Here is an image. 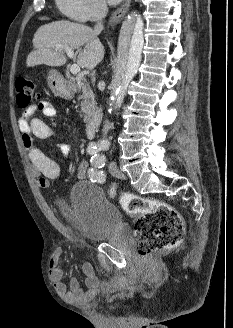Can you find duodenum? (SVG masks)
<instances>
[{"label":"duodenum","mask_w":233,"mask_h":328,"mask_svg":"<svg viewBox=\"0 0 233 328\" xmlns=\"http://www.w3.org/2000/svg\"><path fill=\"white\" fill-rule=\"evenodd\" d=\"M97 129V119L96 116H92L87 123L88 134L93 136Z\"/></svg>","instance_id":"1"}]
</instances>
